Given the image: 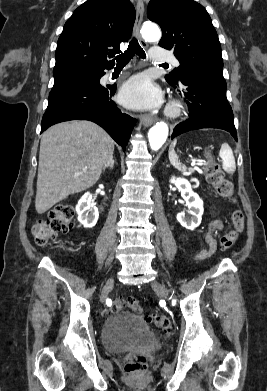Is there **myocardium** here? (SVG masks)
<instances>
[{
	"mask_svg": "<svg viewBox=\"0 0 267 391\" xmlns=\"http://www.w3.org/2000/svg\"><path fill=\"white\" fill-rule=\"evenodd\" d=\"M166 112L169 117H177L182 112V105L177 101H173L167 106Z\"/></svg>",
	"mask_w": 267,
	"mask_h": 391,
	"instance_id": "1",
	"label": "myocardium"
}]
</instances>
